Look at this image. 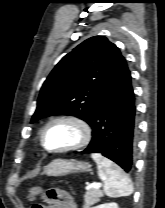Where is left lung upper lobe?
I'll list each match as a JSON object with an SVG mask.
<instances>
[{"mask_svg": "<svg viewBox=\"0 0 165 208\" xmlns=\"http://www.w3.org/2000/svg\"><path fill=\"white\" fill-rule=\"evenodd\" d=\"M126 65L115 44L91 37L65 55L45 80L31 122L56 114L91 123L96 108Z\"/></svg>", "mask_w": 165, "mask_h": 208, "instance_id": "5c2ea615", "label": "left lung upper lobe"}]
</instances>
